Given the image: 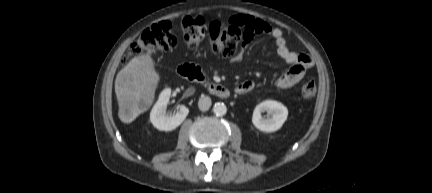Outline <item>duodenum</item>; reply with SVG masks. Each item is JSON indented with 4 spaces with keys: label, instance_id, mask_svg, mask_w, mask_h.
I'll return each mask as SVG.
<instances>
[{
    "label": "duodenum",
    "instance_id": "obj_1",
    "mask_svg": "<svg viewBox=\"0 0 432 193\" xmlns=\"http://www.w3.org/2000/svg\"><path fill=\"white\" fill-rule=\"evenodd\" d=\"M177 73L184 79L206 84L207 79L204 72L193 64H183L177 68ZM207 87L209 91L218 98H227L230 95V90L223 85L208 83Z\"/></svg>",
    "mask_w": 432,
    "mask_h": 193
}]
</instances>
